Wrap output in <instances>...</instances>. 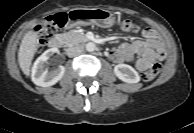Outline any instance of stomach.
<instances>
[{
  "label": "stomach",
  "mask_w": 194,
  "mask_h": 133,
  "mask_svg": "<svg viewBox=\"0 0 194 133\" xmlns=\"http://www.w3.org/2000/svg\"><path fill=\"white\" fill-rule=\"evenodd\" d=\"M97 25L108 28L114 24V15L103 9L78 8L69 12V27Z\"/></svg>",
  "instance_id": "obj_1"
}]
</instances>
